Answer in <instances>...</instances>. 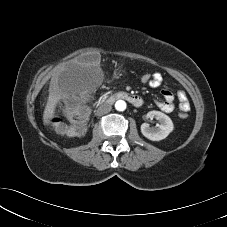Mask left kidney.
<instances>
[{
    "label": "left kidney",
    "mask_w": 227,
    "mask_h": 227,
    "mask_svg": "<svg viewBox=\"0 0 227 227\" xmlns=\"http://www.w3.org/2000/svg\"><path fill=\"white\" fill-rule=\"evenodd\" d=\"M147 118L157 119L160 124L155 127H150L148 123L141 125V133L152 141H160L165 139L174 129L172 120L160 111H150L147 113Z\"/></svg>",
    "instance_id": "5707ae66"
}]
</instances>
